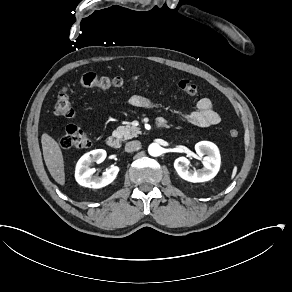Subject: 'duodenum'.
<instances>
[{"instance_id":"410a0bca","label":"duodenum","mask_w":292,"mask_h":292,"mask_svg":"<svg viewBox=\"0 0 292 292\" xmlns=\"http://www.w3.org/2000/svg\"><path fill=\"white\" fill-rule=\"evenodd\" d=\"M165 126V122L159 119L156 123L158 129H162ZM107 145L112 149H117L120 147V139L117 136L111 135L107 138Z\"/></svg>"}]
</instances>
